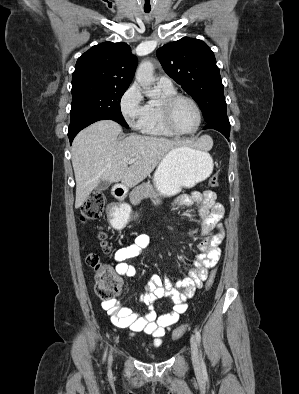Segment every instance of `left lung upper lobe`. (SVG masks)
<instances>
[{
    "mask_svg": "<svg viewBox=\"0 0 299 394\" xmlns=\"http://www.w3.org/2000/svg\"><path fill=\"white\" fill-rule=\"evenodd\" d=\"M156 54L165 72L198 103L207 123L228 119L219 68L202 40L184 37Z\"/></svg>",
    "mask_w": 299,
    "mask_h": 394,
    "instance_id": "obj_1",
    "label": "left lung upper lobe"
}]
</instances>
